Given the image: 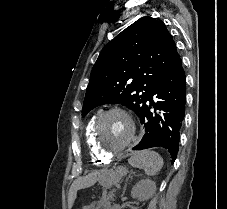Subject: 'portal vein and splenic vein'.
Segmentation results:
<instances>
[{
    "label": "portal vein and splenic vein",
    "mask_w": 227,
    "mask_h": 209,
    "mask_svg": "<svg viewBox=\"0 0 227 209\" xmlns=\"http://www.w3.org/2000/svg\"><path fill=\"white\" fill-rule=\"evenodd\" d=\"M110 196L107 194L106 196H102L100 199L102 201H107Z\"/></svg>",
    "instance_id": "1"
}]
</instances>
